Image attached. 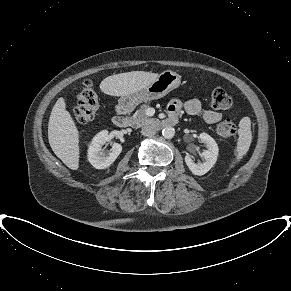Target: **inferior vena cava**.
I'll use <instances>...</instances> for the list:
<instances>
[{
	"label": "inferior vena cava",
	"instance_id": "inferior-vena-cava-1",
	"mask_svg": "<svg viewBox=\"0 0 291 291\" xmlns=\"http://www.w3.org/2000/svg\"><path fill=\"white\" fill-rule=\"evenodd\" d=\"M156 133V129L151 125H146L142 127L141 134L143 136H153Z\"/></svg>",
	"mask_w": 291,
	"mask_h": 291
}]
</instances>
